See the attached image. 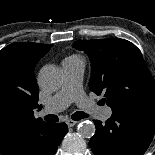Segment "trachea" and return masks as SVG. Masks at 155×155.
<instances>
[{"mask_svg":"<svg viewBox=\"0 0 155 155\" xmlns=\"http://www.w3.org/2000/svg\"><path fill=\"white\" fill-rule=\"evenodd\" d=\"M87 117H89V115L85 114L84 112H81V111L80 112H75L72 115V119L75 120V121H79V120H81L83 118H87ZM44 119L47 122H58L59 121L58 116L52 115V114L45 116Z\"/></svg>","mask_w":155,"mask_h":155,"instance_id":"trachea-1","label":"trachea"}]
</instances>
